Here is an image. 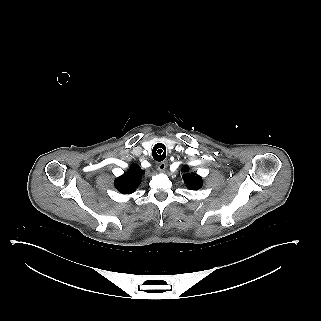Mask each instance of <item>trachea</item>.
<instances>
[{"label":"trachea","instance_id":"3493384b","mask_svg":"<svg viewBox=\"0 0 321 321\" xmlns=\"http://www.w3.org/2000/svg\"><path fill=\"white\" fill-rule=\"evenodd\" d=\"M153 158L156 161H163L166 157V148L163 144L158 143L153 147L152 150Z\"/></svg>","mask_w":321,"mask_h":321}]
</instances>
